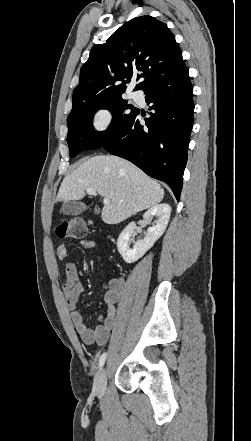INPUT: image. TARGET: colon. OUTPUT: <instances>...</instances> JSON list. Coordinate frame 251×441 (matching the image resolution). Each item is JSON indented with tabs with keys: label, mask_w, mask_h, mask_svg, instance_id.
Returning a JSON list of instances; mask_svg holds the SVG:
<instances>
[{
	"label": "colon",
	"mask_w": 251,
	"mask_h": 441,
	"mask_svg": "<svg viewBox=\"0 0 251 441\" xmlns=\"http://www.w3.org/2000/svg\"><path fill=\"white\" fill-rule=\"evenodd\" d=\"M56 234L60 238H85L89 234V228L82 218H72L60 223L56 228Z\"/></svg>",
	"instance_id": "colon-1"
}]
</instances>
